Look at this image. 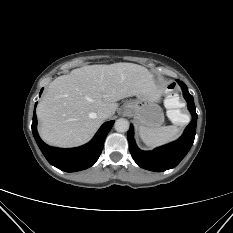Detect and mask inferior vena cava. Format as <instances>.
<instances>
[{
  "label": "inferior vena cava",
  "mask_w": 233,
  "mask_h": 233,
  "mask_svg": "<svg viewBox=\"0 0 233 233\" xmlns=\"http://www.w3.org/2000/svg\"><path fill=\"white\" fill-rule=\"evenodd\" d=\"M98 116H99L101 119H107V118H109L110 116H112V113H111L108 109L104 108V109H102V110H100V111L98 112Z\"/></svg>",
  "instance_id": "obj_1"
}]
</instances>
